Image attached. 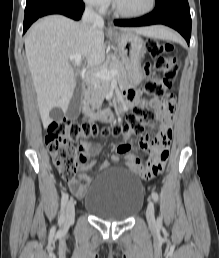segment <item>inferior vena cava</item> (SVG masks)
Returning <instances> with one entry per match:
<instances>
[{
    "label": "inferior vena cava",
    "mask_w": 219,
    "mask_h": 258,
    "mask_svg": "<svg viewBox=\"0 0 219 258\" xmlns=\"http://www.w3.org/2000/svg\"><path fill=\"white\" fill-rule=\"evenodd\" d=\"M83 23L92 24L96 26H104L103 18L98 15L91 7H86L83 17Z\"/></svg>",
    "instance_id": "602c4592"
}]
</instances>
